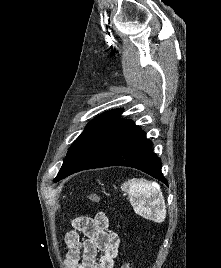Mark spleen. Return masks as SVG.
<instances>
[{"label":"spleen","instance_id":"obj_1","mask_svg":"<svg viewBox=\"0 0 221 268\" xmlns=\"http://www.w3.org/2000/svg\"><path fill=\"white\" fill-rule=\"evenodd\" d=\"M121 189L131 196V204L138 215L157 223L164 221L166 204L158 183L133 178L123 183Z\"/></svg>","mask_w":221,"mask_h":268}]
</instances>
